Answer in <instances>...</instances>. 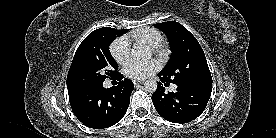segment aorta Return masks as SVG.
Returning <instances> with one entry per match:
<instances>
[{
  "instance_id": "1",
  "label": "aorta",
  "mask_w": 276,
  "mask_h": 138,
  "mask_svg": "<svg viewBox=\"0 0 276 138\" xmlns=\"http://www.w3.org/2000/svg\"><path fill=\"white\" fill-rule=\"evenodd\" d=\"M131 57L135 60H144L150 57V52L136 48L131 51ZM144 89L147 92L153 93L157 89V82L155 80H147L144 83Z\"/></svg>"
}]
</instances>
